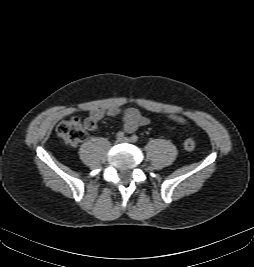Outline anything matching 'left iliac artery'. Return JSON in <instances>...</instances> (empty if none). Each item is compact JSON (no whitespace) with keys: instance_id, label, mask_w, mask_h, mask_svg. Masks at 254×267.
Wrapping results in <instances>:
<instances>
[{"instance_id":"1","label":"left iliac artery","mask_w":254,"mask_h":267,"mask_svg":"<svg viewBox=\"0 0 254 267\" xmlns=\"http://www.w3.org/2000/svg\"><path fill=\"white\" fill-rule=\"evenodd\" d=\"M131 141L132 142H137L138 141V136H136V135H133L132 137H131Z\"/></svg>"}]
</instances>
